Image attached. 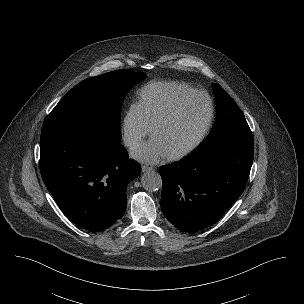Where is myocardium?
Listing matches in <instances>:
<instances>
[{"instance_id": "myocardium-1", "label": "myocardium", "mask_w": 304, "mask_h": 304, "mask_svg": "<svg viewBox=\"0 0 304 304\" xmlns=\"http://www.w3.org/2000/svg\"><path fill=\"white\" fill-rule=\"evenodd\" d=\"M194 97H203L207 103H208V116L205 121V124L198 134V136L192 141L189 145L184 147L181 150H178L176 152H173L169 155L171 159H178L181 157H184L191 152H193L195 149H197L202 142L205 140L207 137L213 120H214V115H215V107H214V102L212 98L204 91L201 90H193L187 94H184L183 96L179 97L161 116H159L154 124L152 125V135L155 134L156 130L165 122H167L174 114L178 111V109L189 99L194 98Z\"/></svg>"}]
</instances>
